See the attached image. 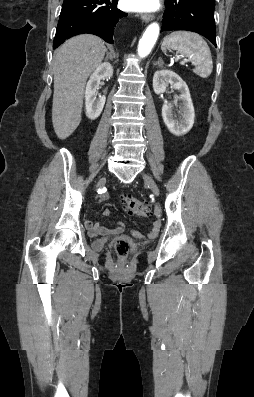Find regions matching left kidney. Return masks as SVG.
I'll return each instance as SVG.
<instances>
[{
	"mask_svg": "<svg viewBox=\"0 0 254 397\" xmlns=\"http://www.w3.org/2000/svg\"><path fill=\"white\" fill-rule=\"evenodd\" d=\"M168 84H171L180 92L179 99L181 107L179 108L177 118L173 114L172 104L164 101L162 106V117L168 130L175 136L187 134L194 124L195 112L189 88L182 78L170 70L156 71L153 77L154 92L159 95L166 91Z\"/></svg>",
	"mask_w": 254,
	"mask_h": 397,
	"instance_id": "1",
	"label": "left kidney"
}]
</instances>
